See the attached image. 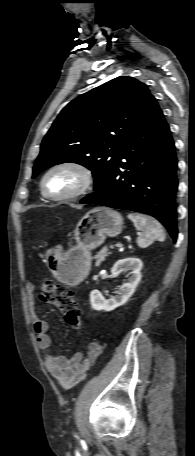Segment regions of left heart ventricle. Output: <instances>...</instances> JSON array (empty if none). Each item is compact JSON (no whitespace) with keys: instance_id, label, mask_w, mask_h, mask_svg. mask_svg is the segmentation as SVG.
Segmentation results:
<instances>
[{"instance_id":"left-heart-ventricle-1","label":"left heart ventricle","mask_w":195,"mask_h":456,"mask_svg":"<svg viewBox=\"0 0 195 456\" xmlns=\"http://www.w3.org/2000/svg\"><path fill=\"white\" fill-rule=\"evenodd\" d=\"M81 183L80 174L73 169H58L46 179V189L52 195H65L74 191Z\"/></svg>"}]
</instances>
